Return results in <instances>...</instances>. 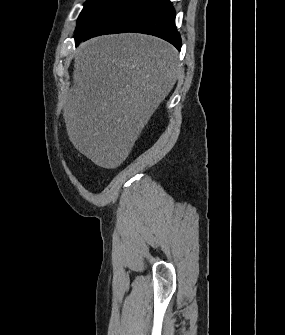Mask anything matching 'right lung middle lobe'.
Segmentation results:
<instances>
[{
	"instance_id": "right-lung-middle-lobe-1",
	"label": "right lung middle lobe",
	"mask_w": 285,
	"mask_h": 335,
	"mask_svg": "<svg viewBox=\"0 0 285 335\" xmlns=\"http://www.w3.org/2000/svg\"><path fill=\"white\" fill-rule=\"evenodd\" d=\"M120 0H86L84 8L77 20L75 42L79 43L88 30Z\"/></svg>"
}]
</instances>
